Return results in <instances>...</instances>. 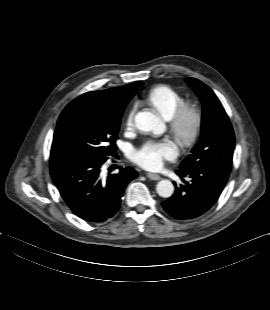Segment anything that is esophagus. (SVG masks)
I'll return each mask as SVG.
<instances>
[{"mask_svg": "<svg viewBox=\"0 0 270 310\" xmlns=\"http://www.w3.org/2000/svg\"><path fill=\"white\" fill-rule=\"evenodd\" d=\"M147 177L151 180L157 181L161 179V176L154 173H147Z\"/></svg>", "mask_w": 270, "mask_h": 310, "instance_id": "1", "label": "esophagus"}]
</instances>
